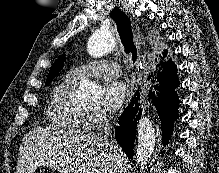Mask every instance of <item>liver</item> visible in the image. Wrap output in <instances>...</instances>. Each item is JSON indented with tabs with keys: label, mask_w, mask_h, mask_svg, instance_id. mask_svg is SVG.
I'll return each instance as SVG.
<instances>
[{
	"label": "liver",
	"mask_w": 219,
	"mask_h": 173,
	"mask_svg": "<svg viewBox=\"0 0 219 173\" xmlns=\"http://www.w3.org/2000/svg\"><path fill=\"white\" fill-rule=\"evenodd\" d=\"M110 154L108 144L99 135L36 128L22 140L16 173H33L39 166L60 173H119L123 154L118 151L115 161Z\"/></svg>",
	"instance_id": "1"
}]
</instances>
